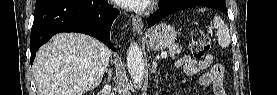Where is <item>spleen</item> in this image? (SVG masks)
<instances>
[{"instance_id":"1","label":"spleen","mask_w":277,"mask_h":95,"mask_svg":"<svg viewBox=\"0 0 277 95\" xmlns=\"http://www.w3.org/2000/svg\"><path fill=\"white\" fill-rule=\"evenodd\" d=\"M213 25L217 31L219 45L222 48L228 47L230 45L231 39H230V33L227 25L218 16H215L213 18Z\"/></svg>"}]
</instances>
